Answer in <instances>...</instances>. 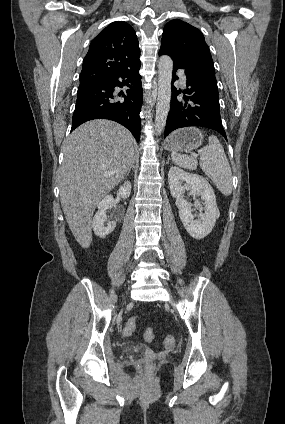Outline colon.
I'll return each mask as SVG.
<instances>
[{"label":"colon","mask_w":285,"mask_h":424,"mask_svg":"<svg viewBox=\"0 0 285 424\" xmlns=\"http://www.w3.org/2000/svg\"><path fill=\"white\" fill-rule=\"evenodd\" d=\"M136 322L137 318L133 317L131 318L124 326V334L125 335H131L134 333L136 328ZM143 337L146 341H151L154 339V330L152 328H147L144 331ZM174 343V337L171 335L166 336L165 338V344L166 345H172Z\"/></svg>","instance_id":"1"}]
</instances>
